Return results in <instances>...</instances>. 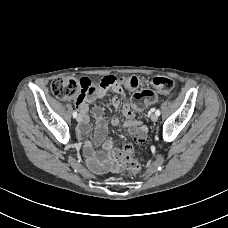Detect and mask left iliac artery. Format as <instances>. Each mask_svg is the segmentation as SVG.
Listing matches in <instances>:
<instances>
[{"label": "left iliac artery", "mask_w": 228, "mask_h": 228, "mask_svg": "<svg viewBox=\"0 0 228 228\" xmlns=\"http://www.w3.org/2000/svg\"><path fill=\"white\" fill-rule=\"evenodd\" d=\"M160 113H161V112H160V110H159V109H157V110H156V112H155V114H156L157 116H159V115H160Z\"/></svg>", "instance_id": "obj_1"}]
</instances>
